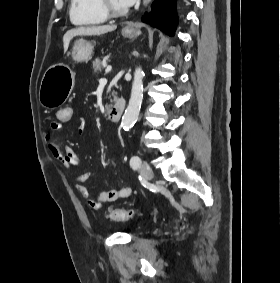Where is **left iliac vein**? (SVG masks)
<instances>
[{"mask_svg": "<svg viewBox=\"0 0 280 283\" xmlns=\"http://www.w3.org/2000/svg\"><path fill=\"white\" fill-rule=\"evenodd\" d=\"M140 172H141V175L142 177L144 178L145 181L149 182L152 180L153 178V171L150 167V165L143 161L140 165Z\"/></svg>", "mask_w": 280, "mask_h": 283, "instance_id": "1", "label": "left iliac vein"}]
</instances>
